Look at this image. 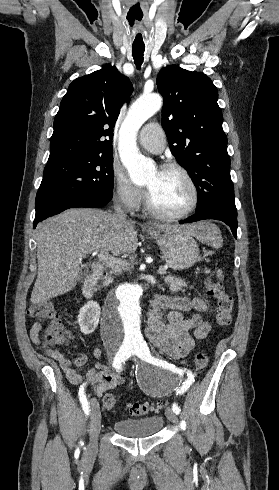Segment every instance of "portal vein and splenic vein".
<instances>
[{
  "label": "portal vein and splenic vein",
  "mask_w": 279,
  "mask_h": 490,
  "mask_svg": "<svg viewBox=\"0 0 279 490\" xmlns=\"http://www.w3.org/2000/svg\"><path fill=\"white\" fill-rule=\"evenodd\" d=\"M98 258L100 262H103L104 266L106 268H118V266H126L125 262H122V260H116V258H111V256H107L105 252H100L98 254ZM124 258V256H122ZM167 268H159L158 272L159 274H166Z\"/></svg>",
  "instance_id": "1"
}]
</instances>
